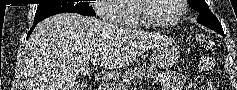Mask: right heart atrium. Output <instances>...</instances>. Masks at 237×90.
<instances>
[{
	"instance_id": "obj_1",
	"label": "right heart atrium",
	"mask_w": 237,
	"mask_h": 90,
	"mask_svg": "<svg viewBox=\"0 0 237 90\" xmlns=\"http://www.w3.org/2000/svg\"><path fill=\"white\" fill-rule=\"evenodd\" d=\"M120 3H123V0H95L90 6V10L99 12L101 20H115L116 16L111 13L113 11L111 6H120Z\"/></svg>"
}]
</instances>
